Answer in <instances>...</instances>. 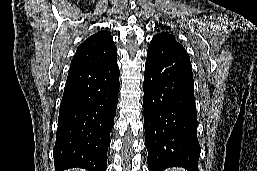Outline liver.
I'll list each match as a JSON object with an SVG mask.
<instances>
[{"mask_svg": "<svg viewBox=\"0 0 257 171\" xmlns=\"http://www.w3.org/2000/svg\"><path fill=\"white\" fill-rule=\"evenodd\" d=\"M69 171H82V170H69Z\"/></svg>", "mask_w": 257, "mask_h": 171, "instance_id": "obj_1", "label": "liver"}]
</instances>
